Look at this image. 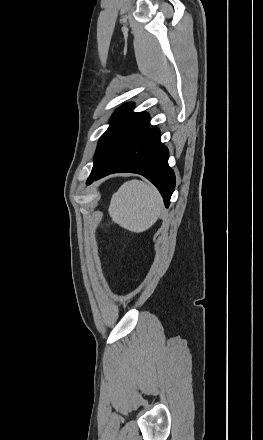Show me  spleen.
Returning <instances> with one entry per match:
<instances>
[{
    "instance_id": "obj_1",
    "label": "spleen",
    "mask_w": 263,
    "mask_h": 440,
    "mask_svg": "<svg viewBox=\"0 0 263 440\" xmlns=\"http://www.w3.org/2000/svg\"><path fill=\"white\" fill-rule=\"evenodd\" d=\"M163 211V200L158 190L140 180H130L112 195L109 215L112 221L131 232L149 229Z\"/></svg>"
}]
</instances>
